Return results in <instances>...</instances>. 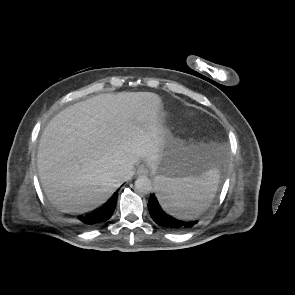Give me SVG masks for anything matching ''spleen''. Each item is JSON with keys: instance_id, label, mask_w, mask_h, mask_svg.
Segmentation results:
<instances>
[{"instance_id": "3e777b00", "label": "spleen", "mask_w": 295, "mask_h": 295, "mask_svg": "<svg viewBox=\"0 0 295 295\" xmlns=\"http://www.w3.org/2000/svg\"><path fill=\"white\" fill-rule=\"evenodd\" d=\"M157 198L170 214L182 219H195L203 213L217 191L219 171L212 168L198 178L155 177Z\"/></svg>"}]
</instances>
